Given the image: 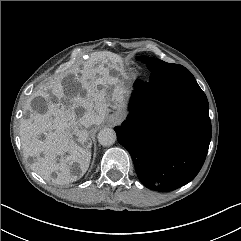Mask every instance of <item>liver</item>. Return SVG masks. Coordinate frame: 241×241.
Returning a JSON list of instances; mask_svg holds the SVG:
<instances>
[{
    "label": "liver",
    "instance_id": "6515ba94",
    "mask_svg": "<svg viewBox=\"0 0 241 241\" xmlns=\"http://www.w3.org/2000/svg\"><path fill=\"white\" fill-rule=\"evenodd\" d=\"M121 62V57L112 52L94 53L82 69L73 67L64 81L57 78L34 93L33 98H43L46 107L38 111L28 104L31 115L21 120L20 137L25 156L36 157L31 168L45 180L66 185L88 170L92 142L79 122L80 109L95 115V125L102 123L109 106L122 110L126 90L119 78L110 74V69L121 71ZM78 88L85 91L83 95ZM42 134L45 139H38ZM74 164L80 169L77 173H72Z\"/></svg>",
    "mask_w": 241,
    "mask_h": 241
}]
</instances>
